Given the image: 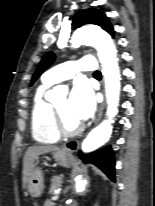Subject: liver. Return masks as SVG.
Wrapping results in <instances>:
<instances>
[{
  "label": "liver",
  "instance_id": "6515ba94",
  "mask_svg": "<svg viewBox=\"0 0 155 206\" xmlns=\"http://www.w3.org/2000/svg\"><path fill=\"white\" fill-rule=\"evenodd\" d=\"M58 148L53 145L31 146L27 149L23 161V185L26 186L31 171L34 169V161L39 155L56 151Z\"/></svg>",
  "mask_w": 155,
  "mask_h": 206
}]
</instances>
